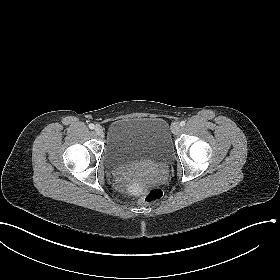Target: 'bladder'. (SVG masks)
<instances>
[{
    "label": "bladder",
    "instance_id": "1",
    "mask_svg": "<svg viewBox=\"0 0 280 280\" xmlns=\"http://www.w3.org/2000/svg\"><path fill=\"white\" fill-rule=\"evenodd\" d=\"M172 154L169 126L163 118H120L108 127L104 163L110 171L142 161L165 163Z\"/></svg>",
    "mask_w": 280,
    "mask_h": 280
}]
</instances>
